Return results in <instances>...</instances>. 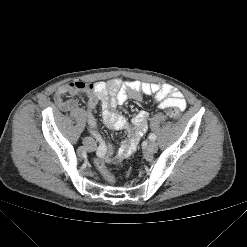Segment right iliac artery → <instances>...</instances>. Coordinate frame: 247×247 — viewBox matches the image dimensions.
<instances>
[{"label": "right iliac artery", "instance_id": "82829eb1", "mask_svg": "<svg viewBox=\"0 0 247 247\" xmlns=\"http://www.w3.org/2000/svg\"><path fill=\"white\" fill-rule=\"evenodd\" d=\"M90 133L93 137H95L100 142V145L96 149V154L99 157H104L107 154V149L103 144L101 137L95 131L90 130Z\"/></svg>", "mask_w": 247, "mask_h": 247}]
</instances>
